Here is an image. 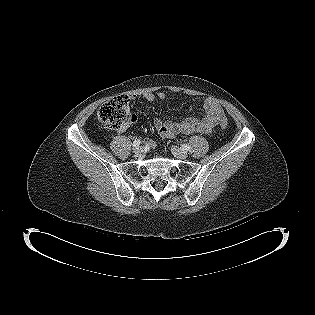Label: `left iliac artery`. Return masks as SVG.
Instances as JSON below:
<instances>
[{"instance_id":"44dca946","label":"left iliac artery","mask_w":315,"mask_h":315,"mask_svg":"<svg viewBox=\"0 0 315 315\" xmlns=\"http://www.w3.org/2000/svg\"><path fill=\"white\" fill-rule=\"evenodd\" d=\"M182 150L188 151V150H190V146L187 145V144H184V145L182 146Z\"/></svg>"}]
</instances>
